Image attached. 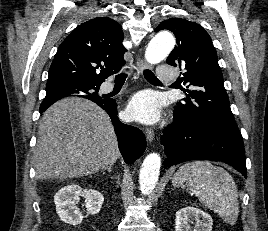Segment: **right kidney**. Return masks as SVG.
Wrapping results in <instances>:
<instances>
[{
  "mask_svg": "<svg viewBox=\"0 0 268 231\" xmlns=\"http://www.w3.org/2000/svg\"><path fill=\"white\" fill-rule=\"evenodd\" d=\"M78 196L85 198L86 210L92 215L99 213L104 202L103 195L94 189H82L76 184L61 188L54 196L56 212L63 222L70 225H79L84 218L82 212L75 205Z\"/></svg>",
  "mask_w": 268,
  "mask_h": 231,
  "instance_id": "ca27d5eb",
  "label": "right kidney"
}]
</instances>
